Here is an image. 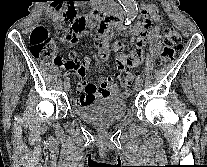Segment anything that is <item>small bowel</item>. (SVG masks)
<instances>
[{
  "label": "small bowel",
  "instance_id": "1",
  "mask_svg": "<svg viewBox=\"0 0 207 167\" xmlns=\"http://www.w3.org/2000/svg\"><path fill=\"white\" fill-rule=\"evenodd\" d=\"M143 22H138L131 29V52L129 55L123 52L122 44L115 43L113 51L119 66L127 68L138 67L145 58H155L161 49V23L162 18L158 15L153 4H147L142 8ZM110 24L104 23L99 27L95 44L99 56L106 62L110 61V49L108 42V30ZM77 33L81 36L86 35L87 31L79 29ZM71 43L77 42V35ZM148 43V44H147ZM68 74H77L81 80L77 85V97L73 100L75 104L91 102L97 98L106 96H125L127 90L122 89L114 82L112 77H101L99 85L86 81L87 70L84 65L69 66L65 65Z\"/></svg>",
  "mask_w": 207,
  "mask_h": 167
}]
</instances>
